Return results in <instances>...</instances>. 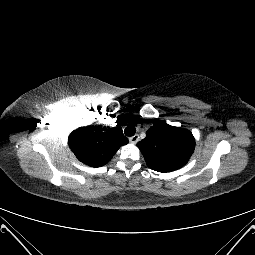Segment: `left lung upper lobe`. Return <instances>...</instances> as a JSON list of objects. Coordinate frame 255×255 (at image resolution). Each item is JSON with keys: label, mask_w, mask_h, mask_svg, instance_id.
<instances>
[{"label": "left lung upper lobe", "mask_w": 255, "mask_h": 255, "mask_svg": "<svg viewBox=\"0 0 255 255\" xmlns=\"http://www.w3.org/2000/svg\"><path fill=\"white\" fill-rule=\"evenodd\" d=\"M137 146L151 169L170 172L188 162L195 148V140L189 130L157 121Z\"/></svg>", "instance_id": "5c2ea615"}]
</instances>
